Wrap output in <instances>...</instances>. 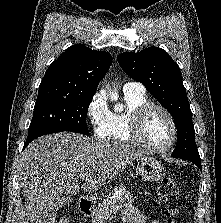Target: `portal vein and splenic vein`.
<instances>
[{
	"mask_svg": "<svg viewBox=\"0 0 221 223\" xmlns=\"http://www.w3.org/2000/svg\"><path fill=\"white\" fill-rule=\"evenodd\" d=\"M82 181H88L89 180V175H85L81 177Z\"/></svg>",
	"mask_w": 221,
	"mask_h": 223,
	"instance_id": "obj_1",
	"label": "portal vein and splenic vein"
}]
</instances>
